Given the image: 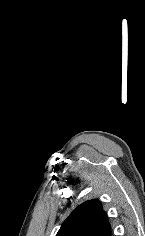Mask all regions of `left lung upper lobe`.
<instances>
[{
	"mask_svg": "<svg viewBox=\"0 0 145 236\" xmlns=\"http://www.w3.org/2000/svg\"><path fill=\"white\" fill-rule=\"evenodd\" d=\"M56 236H111V226L100 202L88 200L70 214Z\"/></svg>",
	"mask_w": 145,
	"mask_h": 236,
	"instance_id": "1",
	"label": "left lung upper lobe"
}]
</instances>
